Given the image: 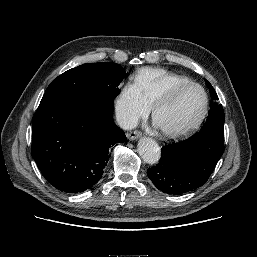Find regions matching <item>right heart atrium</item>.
<instances>
[{
    "label": "right heart atrium",
    "mask_w": 257,
    "mask_h": 257,
    "mask_svg": "<svg viewBox=\"0 0 257 257\" xmlns=\"http://www.w3.org/2000/svg\"><path fill=\"white\" fill-rule=\"evenodd\" d=\"M115 110L120 122L126 127H131L149 113L150 106L139 87L133 82H128L121 87L116 97Z\"/></svg>",
    "instance_id": "right-heart-atrium-1"
}]
</instances>
